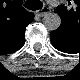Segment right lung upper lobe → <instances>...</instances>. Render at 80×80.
<instances>
[{
    "instance_id": "right-lung-upper-lobe-1",
    "label": "right lung upper lobe",
    "mask_w": 80,
    "mask_h": 80,
    "mask_svg": "<svg viewBox=\"0 0 80 80\" xmlns=\"http://www.w3.org/2000/svg\"><path fill=\"white\" fill-rule=\"evenodd\" d=\"M16 23L18 22L19 24H17L16 26H18V28L20 27H24L25 25H27L28 24V21L26 22V21H23V22H19V21H15Z\"/></svg>"
}]
</instances>
